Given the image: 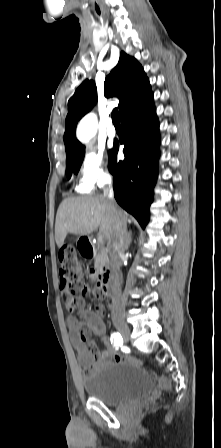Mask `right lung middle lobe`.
<instances>
[{
	"instance_id": "obj_1",
	"label": "right lung middle lobe",
	"mask_w": 221,
	"mask_h": 448,
	"mask_svg": "<svg viewBox=\"0 0 221 448\" xmlns=\"http://www.w3.org/2000/svg\"><path fill=\"white\" fill-rule=\"evenodd\" d=\"M110 152V151H109ZM84 158V150L78 154L66 158V175L68 179L71 175L77 174Z\"/></svg>"
}]
</instances>
